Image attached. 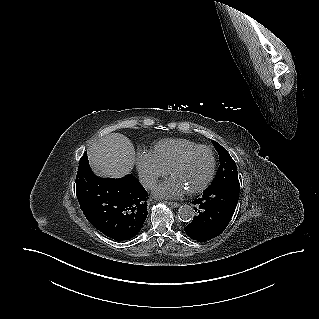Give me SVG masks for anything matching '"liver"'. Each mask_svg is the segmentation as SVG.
<instances>
[{"instance_id":"6515ba94","label":"liver","mask_w":319,"mask_h":319,"mask_svg":"<svg viewBox=\"0 0 319 319\" xmlns=\"http://www.w3.org/2000/svg\"><path fill=\"white\" fill-rule=\"evenodd\" d=\"M88 159L97 174L121 178L133 169L135 150L129 138L111 133L89 147Z\"/></svg>"}]
</instances>
